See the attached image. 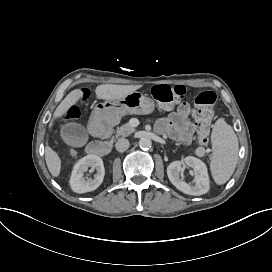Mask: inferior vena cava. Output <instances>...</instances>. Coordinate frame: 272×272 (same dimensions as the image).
<instances>
[{
	"mask_svg": "<svg viewBox=\"0 0 272 272\" xmlns=\"http://www.w3.org/2000/svg\"><path fill=\"white\" fill-rule=\"evenodd\" d=\"M115 147L118 152H124L129 147V141L127 139L121 138L117 141Z\"/></svg>",
	"mask_w": 272,
	"mask_h": 272,
	"instance_id": "inferior-vena-cava-1",
	"label": "inferior vena cava"
}]
</instances>
